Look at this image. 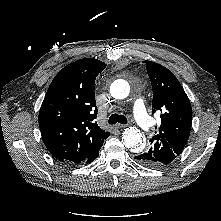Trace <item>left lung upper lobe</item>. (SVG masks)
<instances>
[{
    "mask_svg": "<svg viewBox=\"0 0 221 221\" xmlns=\"http://www.w3.org/2000/svg\"><path fill=\"white\" fill-rule=\"evenodd\" d=\"M152 84V111L161 112V124L140 156L147 164L162 167L171 163L184 149L190 135L192 109L177 78L164 66L144 61ZM157 129V128H155Z\"/></svg>",
    "mask_w": 221,
    "mask_h": 221,
    "instance_id": "obj_1",
    "label": "left lung upper lobe"
}]
</instances>
